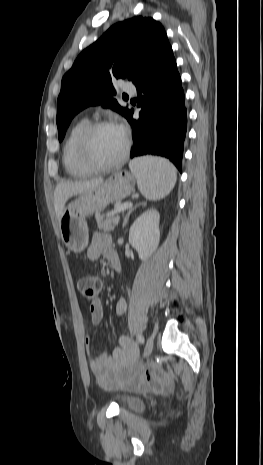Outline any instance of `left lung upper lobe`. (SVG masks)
I'll return each instance as SVG.
<instances>
[{"mask_svg": "<svg viewBox=\"0 0 263 465\" xmlns=\"http://www.w3.org/2000/svg\"><path fill=\"white\" fill-rule=\"evenodd\" d=\"M168 43L159 22L137 16L116 23L82 51L62 79L56 118L59 141L73 117L89 105L102 104L126 117L129 110L111 97L116 93L112 81L133 82Z\"/></svg>", "mask_w": 263, "mask_h": 465, "instance_id": "left-lung-upper-lobe-1", "label": "left lung upper lobe"}]
</instances>
